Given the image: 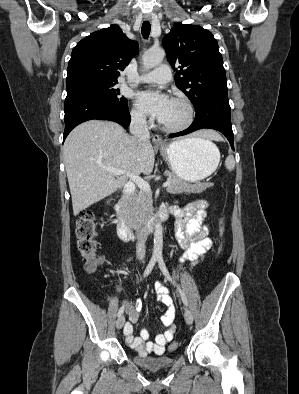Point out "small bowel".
Masks as SVG:
<instances>
[{"mask_svg":"<svg viewBox=\"0 0 299 394\" xmlns=\"http://www.w3.org/2000/svg\"><path fill=\"white\" fill-rule=\"evenodd\" d=\"M207 207L208 202L205 200L195 201L184 207H171V212L176 218V240L184 250L182 260L190 261L194 264L198 263L213 246V242L208 236L209 228L204 224ZM156 295L157 299L167 308L164 315L160 318L161 324L166 330L158 334L153 341L149 340L147 329H142L140 336H133V324L138 320L142 307L141 301L136 299L124 302L129 319L124 327L125 338L138 355H161L165 350L166 344L172 340L176 329V308L168 288L157 283Z\"/></svg>","mask_w":299,"mask_h":394,"instance_id":"small-bowel-1","label":"small bowel"}]
</instances>
